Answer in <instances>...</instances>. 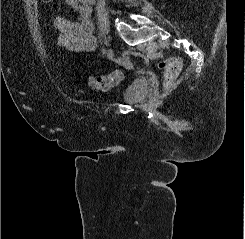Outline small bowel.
<instances>
[{"mask_svg":"<svg viewBox=\"0 0 245 239\" xmlns=\"http://www.w3.org/2000/svg\"><path fill=\"white\" fill-rule=\"evenodd\" d=\"M77 14L76 21L56 13L52 24L57 31V44L72 52H92L97 46L92 12L95 0H64Z\"/></svg>","mask_w":245,"mask_h":239,"instance_id":"obj_1","label":"small bowel"}]
</instances>
